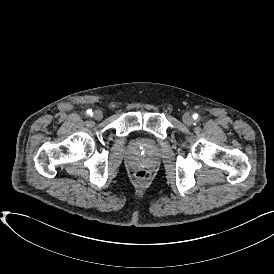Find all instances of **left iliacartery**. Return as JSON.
I'll return each instance as SVG.
<instances>
[{
    "instance_id": "left-iliac-artery-1",
    "label": "left iliac artery",
    "mask_w": 274,
    "mask_h": 274,
    "mask_svg": "<svg viewBox=\"0 0 274 274\" xmlns=\"http://www.w3.org/2000/svg\"><path fill=\"white\" fill-rule=\"evenodd\" d=\"M193 118L196 120L198 119V114H193Z\"/></svg>"
}]
</instances>
